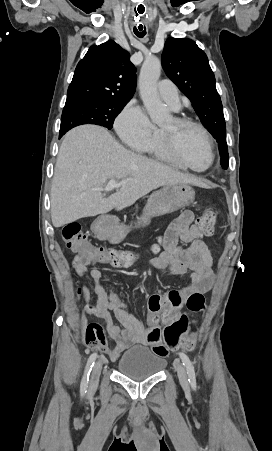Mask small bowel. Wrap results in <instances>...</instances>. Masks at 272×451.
Returning <instances> with one entry per match:
<instances>
[{"label":"small bowel","instance_id":"obj_1","mask_svg":"<svg viewBox=\"0 0 272 451\" xmlns=\"http://www.w3.org/2000/svg\"><path fill=\"white\" fill-rule=\"evenodd\" d=\"M193 220V213L184 211L169 224L161 239L165 250L149 262L153 268L168 270L176 275H188L191 282L180 290L167 293L153 289L148 297V317L160 316L163 322L168 323L178 317L190 295L204 294L211 290L214 284L212 254L204 238L200 236L201 230ZM180 241L187 247L179 245ZM89 256L94 266L107 263L103 257ZM77 275L89 276L92 279L95 298V301L91 302L87 287L78 286L77 292L84 303L80 326L85 328L88 317L100 319L105 323L109 337L115 342L114 348H102L109 359L114 362L119 354L131 345L145 344L144 335L148 332L147 328L129 312V306L118 289L114 290L111 285L105 288L101 284L102 272L94 267L93 270H85L84 274ZM110 311L123 328L113 323Z\"/></svg>","mask_w":272,"mask_h":451}]
</instances>
